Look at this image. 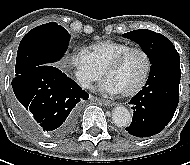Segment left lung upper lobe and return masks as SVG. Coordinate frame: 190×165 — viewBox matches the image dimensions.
I'll use <instances>...</instances> for the list:
<instances>
[{"instance_id":"left-lung-upper-lobe-1","label":"left lung upper lobe","mask_w":190,"mask_h":165,"mask_svg":"<svg viewBox=\"0 0 190 165\" xmlns=\"http://www.w3.org/2000/svg\"><path fill=\"white\" fill-rule=\"evenodd\" d=\"M122 36L138 43L148 56L151 64L165 56L177 53L169 39L151 30H134Z\"/></svg>"}]
</instances>
